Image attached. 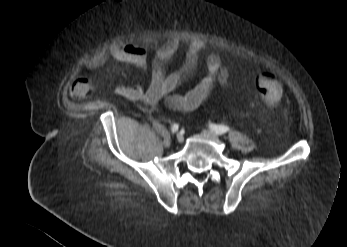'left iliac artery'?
Listing matches in <instances>:
<instances>
[{"label": "left iliac artery", "instance_id": "1", "mask_svg": "<svg viewBox=\"0 0 347 247\" xmlns=\"http://www.w3.org/2000/svg\"><path fill=\"white\" fill-rule=\"evenodd\" d=\"M209 127L212 131H214L215 133L219 135L224 134L230 130L229 127L224 125L210 124Z\"/></svg>", "mask_w": 347, "mask_h": 247}]
</instances>
